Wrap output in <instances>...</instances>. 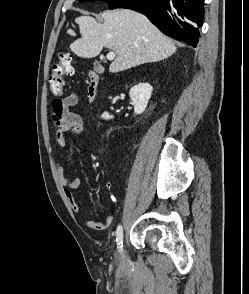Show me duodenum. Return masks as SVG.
Returning <instances> with one entry per match:
<instances>
[{
  "label": "duodenum",
  "mask_w": 249,
  "mask_h": 294,
  "mask_svg": "<svg viewBox=\"0 0 249 294\" xmlns=\"http://www.w3.org/2000/svg\"><path fill=\"white\" fill-rule=\"evenodd\" d=\"M100 76L92 71L89 73V82L87 88L88 99L94 101L99 93Z\"/></svg>",
  "instance_id": "duodenum-1"
}]
</instances>
